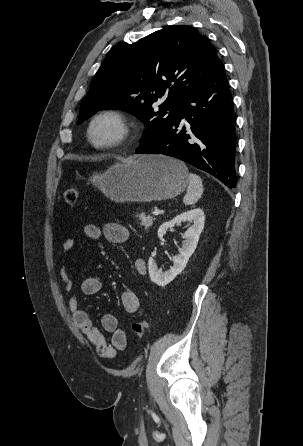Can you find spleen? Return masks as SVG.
<instances>
[{
  "label": "spleen",
  "mask_w": 303,
  "mask_h": 446,
  "mask_svg": "<svg viewBox=\"0 0 303 446\" xmlns=\"http://www.w3.org/2000/svg\"><path fill=\"white\" fill-rule=\"evenodd\" d=\"M203 193L202 179L196 174H189V186L186 195L183 198L185 205L195 204Z\"/></svg>",
  "instance_id": "spleen-1"
}]
</instances>
